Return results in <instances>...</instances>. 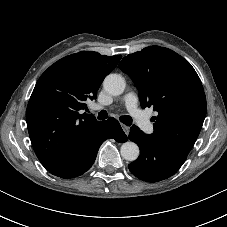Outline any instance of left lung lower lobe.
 Listing matches in <instances>:
<instances>
[{
	"label": "left lung lower lobe",
	"mask_w": 227,
	"mask_h": 227,
	"mask_svg": "<svg viewBox=\"0 0 227 227\" xmlns=\"http://www.w3.org/2000/svg\"><path fill=\"white\" fill-rule=\"evenodd\" d=\"M128 137L141 149L139 158L128 165L129 170L143 181L158 182L167 179L187 159V155L165 147L160 140L146 135L135 125L131 127Z\"/></svg>",
	"instance_id": "0a47b994"
}]
</instances>
